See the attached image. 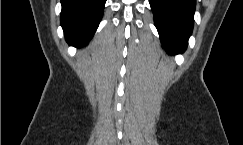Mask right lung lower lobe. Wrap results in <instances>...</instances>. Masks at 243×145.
Returning <instances> with one entry per match:
<instances>
[{
  "label": "right lung lower lobe",
  "mask_w": 243,
  "mask_h": 145,
  "mask_svg": "<svg viewBox=\"0 0 243 145\" xmlns=\"http://www.w3.org/2000/svg\"><path fill=\"white\" fill-rule=\"evenodd\" d=\"M106 0H61V26L69 45L82 47L93 37Z\"/></svg>",
  "instance_id": "right-lung-lower-lobe-1"
}]
</instances>
